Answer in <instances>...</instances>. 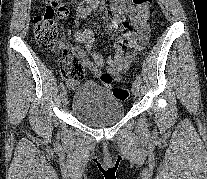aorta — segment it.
<instances>
[{"label":"aorta","instance_id":"762f6f07","mask_svg":"<svg viewBox=\"0 0 207 179\" xmlns=\"http://www.w3.org/2000/svg\"><path fill=\"white\" fill-rule=\"evenodd\" d=\"M87 2L91 5H98L99 0H87Z\"/></svg>","mask_w":207,"mask_h":179}]
</instances>
